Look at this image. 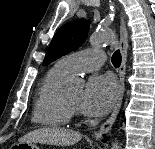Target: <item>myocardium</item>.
<instances>
[{
	"instance_id": "f54148a6",
	"label": "myocardium",
	"mask_w": 155,
	"mask_h": 149,
	"mask_svg": "<svg viewBox=\"0 0 155 149\" xmlns=\"http://www.w3.org/2000/svg\"><path fill=\"white\" fill-rule=\"evenodd\" d=\"M64 103L66 105V107L68 108V110L71 112V114H76L78 113V107L75 106L74 104H72L66 97V95H64Z\"/></svg>"
}]
</instances>
